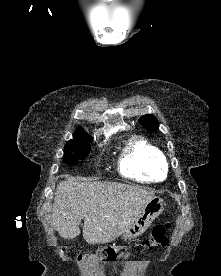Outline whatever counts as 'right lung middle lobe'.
I'll use <instances>...</instances> for the list:
<instances>
[{
	"instance_id": "right-lung-middle-lobe-1",
	"label": "right lung middle lobe",
	"mask_w": 221,
	"mask_h": 276,
	"mask_svg": "<svg viewBox=\"0 0 221 276\" xmlns=\"http://www.w3.org/2000/svg\"><path fill=\"white\" fill-rule=\"evenodd\" d=\"M90 142H67L64 147L63 160L69 165L84 160L90 152Z\"/></svg>"
}]
</instances>
